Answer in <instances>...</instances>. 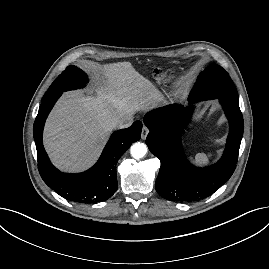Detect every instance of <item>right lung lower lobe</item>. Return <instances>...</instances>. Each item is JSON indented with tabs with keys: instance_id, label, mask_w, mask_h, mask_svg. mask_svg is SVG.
Instances as JSON below:
<instances>
[{
	"instance_id": "98d812e1",
	"label": "right lung lower lobe",
	"mask_w": 269,
	"mask_h": 269,
	"mask_svg": "<svg viewBox=\"0 0 269 269\" xmlns=\"http://www.w3.org/2000/svg\"><path fill=\"white\" fill-rule=\"evenodd\" d=\"M62 93L42 101L34 122L33 133L38 156V169L43 181L59 195L78 203H96L110 198L118 188L116 164L135 141L141 138L142 123L114 132L98 162L80 174H64L50 162L42 143L45 120Z\"/></svg>"
}]
</instances>
